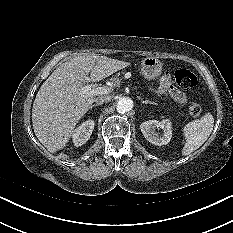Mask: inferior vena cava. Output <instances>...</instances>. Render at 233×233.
I'll list each match as a JSON object with an SVG mask.
<instances>
[{
    "label": "inferior vena cava",
    "instance_id": "1",
    "mask_svg": "<svg viewBox=\"0 0 233 233\" xmlns=\"http://www.w3.org/2000/svg\"><path fill=\"white\" fill-rule=\"evenodd\" d=\"M110 100H111V97H110V96L101 95V96H99V97H97V98L95 99V103H96L97 105H102L104 102H108V101H110Z\"/></svg>",
    "mask_w": 233,
    "mask_h": 233
}]
</instances>
